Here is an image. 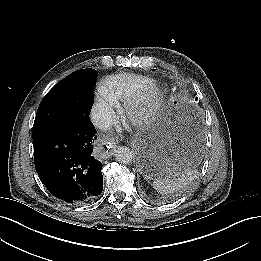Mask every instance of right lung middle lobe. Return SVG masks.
<instances>
[{
    "mask_svg": "<svg viewBox=\"0 0 261 261\" xmlns=\"http://www.w3.org/2000/svg\"><path fill=\"white\" fill-rule=\"evenodd\" d=\"M95 76L93 69H81L54 86L39 105L33 131L67 123L79 116H89Z\"/></svg>",
    "mask_w": 261,
    "mask_h": 261,
    "instance_id": "dd1d6c3e",
    "label": "right lung middle lobe"
}]
</instances>
